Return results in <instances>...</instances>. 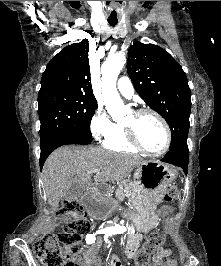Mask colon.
Masks as SVG:
<instances>
[{
  "label": "colon",
  "mask_w": 221,
  "mask_h": 266,
  "mask_svg": "<svg viewBox=\"0 0 221 266\" xmlns=\"http://www.w3.org/2000/svg\"><path fill=\"white\" fill-rule=\"evenodd\" d=\"M177 195V189L172 186L167 191L164 200L172 201ZM61 216L68 219L63 230L57 234L40 236L35 244L34 251L43 266H77L76 262L69 259L70 255H78L82 250L81 241L90 231V222L86 211L77 201H67L59 211ZM164 242V235L159 231L151 232L136 256L138 266H145L150 258ZM166 266H176L175 259L171 256L166 261Z\"/></svg>",
  "instance_id": "obj_1"
}]
</instances>
